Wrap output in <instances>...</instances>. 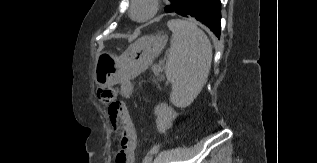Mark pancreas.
Segmentation results:
<instances>
[{
  "instance_id": "obj_1",
  "label": "pancreas",
  "mask_w": 317,
  "mask_h": 163,
  "mask_svg": "<svg viewBox=\"0 0 317 163\" xmlns=\"http://www.w3.org/2000/svg\"><path fill=\"white\" fill-rule=\"evenodd\" d=\"M152 70H153V72H154V74H155V77H156V79H155V81H160V80H162L164 77L160 74L161 72H162V69L159 67V66H153L152 67Z\"/></svg>"
}]
</instances>
